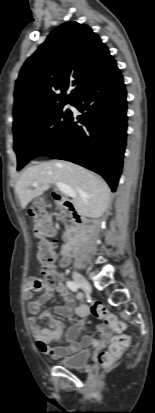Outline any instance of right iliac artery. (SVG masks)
I'll return each mask as SVG.
<instances>
[{
  "instance_id": "right-iliac-artery-1",
  "label": "right iliac artery",
  "mask_w": 155,
  "mask_h": 413,
  "mask_svg": "<svg viewBox=\"0 0 155 413\" xmlns=\"http://www.w3.org/2000/svg\"><path fill=\"white\" fill-rule=\"evenodd\" d=\"M67 287L72 290L73 292H77L79 289V285L74 281H67Z\"/></svg>"
}]
</instances>
